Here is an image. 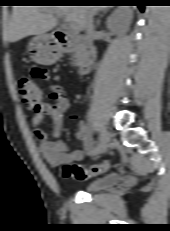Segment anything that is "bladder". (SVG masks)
Wrapping results in <instances>:
<instances>
[{"label": "bladder", "mask_w": 170, "mask_h": 231, "mask_svg": "<svg viewBox=\"0 0 170 231\" xmlns=\"http://www.w3.org/2000/svg\"><path fill=\"white\" fill-rule=\"evenodd\" d=\"M123 180L124 176L121 173H110L86 184L85 190L88 192H100L115 187Z\"/></svg>", "instance_id": "1"}]
</instances>
